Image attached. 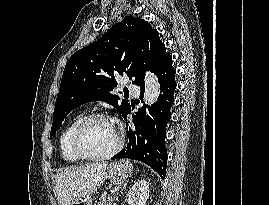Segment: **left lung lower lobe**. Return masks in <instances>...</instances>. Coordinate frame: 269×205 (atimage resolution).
Segmentation results:
<instances>
[{"instance_id":"obj_1","label":"left lung lower lobe","mask_w":269,"mask_h":205,"mask_svg":"<svg viewBox=\"0 0 269 205\" xmlns=\"http://www.w3.org/2000/svg\"><path fill=\"white\" fill-rule=\"evenodd\" d=\"M176 70L172 66V57L167 55L156 71L161 92L158 101L152 106H143L133 114V124L127 126L129 138L127 147L111 159L128 158L149 165L162 179L166 175L167 150L165 146L166 126L170 121V109L174 101ZM145 85L140 86V98L143 97ZM123 118L127 121V114Z\"/></svg>"}]
</instances>
